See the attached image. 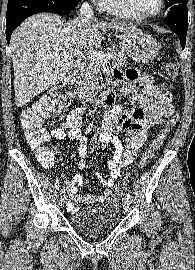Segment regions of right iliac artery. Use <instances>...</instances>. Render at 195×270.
<instances>
[{
    "label": "right iliac artery",
    "mask_w": 195,
    "mask_h": 270,
    "mask_svg": "<svg viewBox=\"0 0 195 270\" xmlns=\"http://www.w3.org/2000/svg\"><path fill=\"white\" fill-rule=\"evenodd\" d=\"M61 195H65V189H62L60 192Z\"/></svg>",
    "instance_id": "1"
}]
</instances>
